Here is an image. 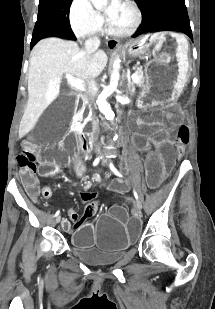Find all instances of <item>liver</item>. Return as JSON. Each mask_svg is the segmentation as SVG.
I'll return each instance as SVG.
<instances>
[{"label":"liver","mask_w":215,"mask_h":309,"mask_svg":"<svg viewBox=\"0 0 215 309\" xmlns=\"http://www.w3.org/2000/svg\"><path fill=\"white\" fill-rule=\"evenodd\" d=\"M28 74V104L19 126V136H24L43 110L60 92L63 74H73L86 80L87 76H99L107 64V54L97 50L88 58L86 50L74 40L57 36L42 38L31 50Z\"/></svg>","instance_id":"1"}]
</instances>
